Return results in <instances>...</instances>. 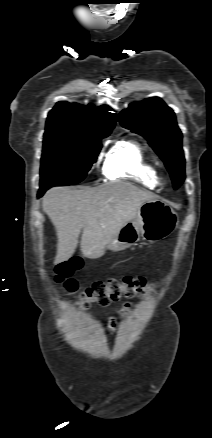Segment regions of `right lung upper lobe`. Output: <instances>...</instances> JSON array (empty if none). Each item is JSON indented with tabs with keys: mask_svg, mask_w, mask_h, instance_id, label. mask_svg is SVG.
<instances>
[{
	"mask_svg": "<svg viewBox=\"0 0 212 438\" xmlns=\"http://www.w3.org/2000/svg\"><path fill=\"white\" fill-rule=\"evenodd\" d=\"M108 106L93 107L58 102L49 112L45 134L93 137L109 135L115 126L116 115Z\"/></svg>",
	"mask_w": 212,
	"mask_h": 438,
	"instance_id": "right-lung-upper-lobe-1",
	"label": "right lung upper lobe"
}]
</instances>
